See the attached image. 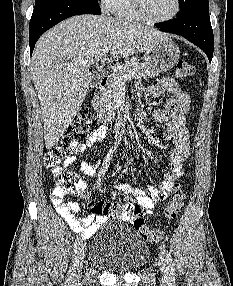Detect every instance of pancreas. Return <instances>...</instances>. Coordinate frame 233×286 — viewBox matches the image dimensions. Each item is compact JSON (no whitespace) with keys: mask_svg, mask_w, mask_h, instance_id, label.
I'll return each mask as SVG.
<instances>
[{"mask_svg":"<svg viewBox=\"0 0 233 286\" xmlns=\"http://www.w3.org/2000/svg\"><path fill=\"white\" fill-rule=\"evenodd\" d=\"M125 74H130L132 79H141L155 77L158 75V72L152 70L146 64L132 60L127 61L125 65L117 68V70L109 76L107 87L100 92L94 104V108L97 110L101 119L109 120L115 116L117 95L121 84L125 82H119V78Z\"/></svg>","mask_w":233,"mask_h":286,"instance_id":"pancreas-1","label":"pancreas"}]
</instances>
